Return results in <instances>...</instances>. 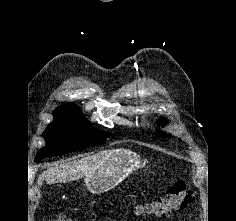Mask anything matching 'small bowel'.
<instances>
[{
  "mask_svg": "<svg viewBox=\"0 0 236 221\" xmlns=\"http://www.w3.org/2000/svg\"><path fill=\"white\" fill-rule=\"evenodd\" d=\"M111 221H119V220L116 218V219H113V220H111Z\"/></svg>",
  "mask_w": 236,
  "mask_h": 221,
  "instance_id": "1",
  "label": "small bowel"
}]
</instances>
